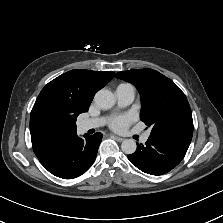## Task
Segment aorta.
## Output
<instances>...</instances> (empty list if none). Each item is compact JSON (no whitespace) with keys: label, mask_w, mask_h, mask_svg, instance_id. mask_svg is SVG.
Here are the masks:
<instances>
[{"label":"aorta","mask_w":223,"mask_h":223,"mask_svg":"<svg viewBox=\"0 0 223 223\" xmlns=\"http://www.w3.org/2000/svg\"><path fill=\"white\" fill-rule=\"evenodd\" d=\"M94 102L98 108L108 110L114 105L115 99L113 93L104 88L95 94ZM136 148L137 145L133 139H126L121 144V149L125 154H133Z\"/></svg>","instance_id":"1"}]
</instances>
